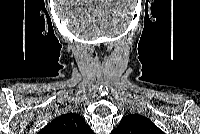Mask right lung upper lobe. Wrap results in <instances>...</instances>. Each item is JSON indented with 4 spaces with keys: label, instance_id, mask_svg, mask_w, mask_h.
I'll use <instances>...</instances> for the list:
<instances>
[{
    "label": "right lung upper lobe",
    "instance_id": "1",
    "mask_svg": "<svg viewBox=\"0 0 200 134\" xmlns=\"http://www.w3.org/2000/svg\"><path fill=\"white\" fill-rule=\"evenodd\" d=\"M42 134H90L92 130L85 120L76 113L61 115L47 124Z\"/></svg>",
    "mask_w": 200,
    "mask_h": 134
}]
</instances>
